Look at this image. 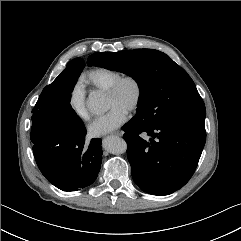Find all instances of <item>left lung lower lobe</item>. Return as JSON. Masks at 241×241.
<instances>
[{
	"mask_svg": "<svg viewBox=\"0 0 241 241\" xmlns=\"http://www.w3.org/2000/svg\"><path fill=\"white\" fill-rule=\"evenodd\" d=\"M122 129L133 180L143 191L168 195L190 180L206 141L205 118L173 115L148 125L134 116Z\"/></svg>",
	"mask_w": 241,
	"mask_h": 241,
	"instance_id": "left-lung-lower-lobe-1",
	"label": "left lung lower lobe"
}]
</instances>
